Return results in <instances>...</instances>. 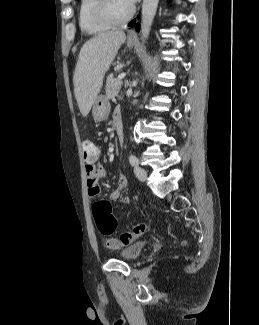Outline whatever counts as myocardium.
<instances>
[{
	"instance_id": "myocardium-1",
	"label": "myocardium",
	"mask_w": 259,
	"mask_h": 325,
	"mask_svg": "<svg viewBox=\"0 0 259 325\" xmlns=\"http://www.w3.org/2000/svg\"><path fill=\"white\" fill-rule=\"evenodd\" d=\"M134 12V7L130 6L125 15L117 16L111 9L110 0H95L93 7V17L95 20L109 26H117L127 22L133 16Z\"/></svg>"
}]
</instances>
